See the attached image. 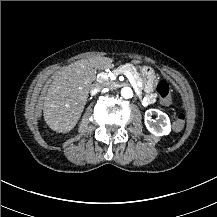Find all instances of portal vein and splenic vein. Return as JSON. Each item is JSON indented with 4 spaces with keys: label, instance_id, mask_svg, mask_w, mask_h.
Listing matches in <instances>:
<instances>
[{
    "label": "portal vein and splenic vein",
    "instance_id": "obj_1",
    "mask_svg": "<svg viewBox=\"0 0 217 217\" xmlns=\"http://www.w3.org/2000/svg\"><path fill=\"white\" fill-rule=\"evenodd\" d=\"M126 75H127L128 80L130 81V83L133 86H135L136 85V82H135L136 77L130 71H128ZM109 77L112 79V77H115V76L111 75Z\"/></svg>",
    "mask_w": 217,
    "mask_h": 217
}]
</instances>
